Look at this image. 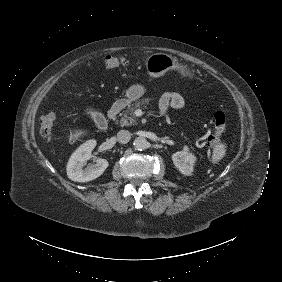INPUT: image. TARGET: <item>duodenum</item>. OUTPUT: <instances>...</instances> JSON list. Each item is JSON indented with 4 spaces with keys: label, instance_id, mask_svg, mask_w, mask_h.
Masks as SVG:
<instances>
[{
    "label": "duodenum",
    "instance_id": "410a0bca",
    "mask_svg": "<svg viewBox=\"0 0 282 282\" xmlns=\"http://www.w3.org/2000/svg\"><path fill=\"white\" fill-rule=\"evenodd\" d=\"M123 106H124L123 101L118 100L117 102H115V103L110 107V109H109V111H108V118H109L110 120H114V119L118 116V114H119V112L121 111V109L123 108Z\"/></svg>",
    "mask_w": 282,
    "mask_h": 282
}]
</instances>
